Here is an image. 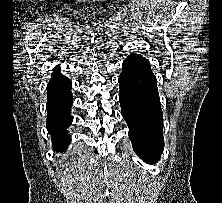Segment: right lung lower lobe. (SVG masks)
<instances>
[{
	"mask_svg": "<svg viewBox=\"0 0 222 203\" xmlns=\"http://www.w3.org/2000/svg\"><path fill=\"white\" fill-rule=\"evenodd\" d=\"M70 90L71 81L60 73L57 66L47 85L48 115L46 123L56 151H63L70 143V135L67 132V127L73 120L70 113L73 96Z\"/></svg>",
	"mask_w": 222,
	"mask_h": 203,
	"instance_id": "obj_1",
	"label": "right lung lower lobe"
}]
</instances>
